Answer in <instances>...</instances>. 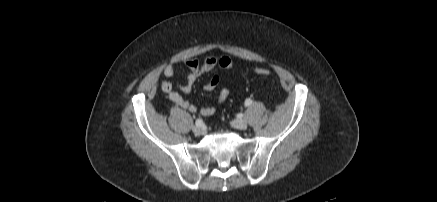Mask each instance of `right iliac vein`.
<instances>
[{"mask_svg":"<svg viewBox=\"0 0 437 202\" xmlns=\"http://www.w3.org/2000/svg\"><path fill=\"white\" fill-rule=\"evenodd\" d=\"M192 130L196 135H203L205 133V129L199 126H194Z\"/></svg>","mask_w":437,"mask_h":202,"instance_id":"63e3f726","label":"right iliac vein"}]
</instances>
